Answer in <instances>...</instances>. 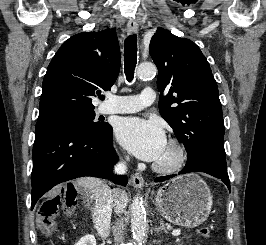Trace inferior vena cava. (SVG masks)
<instances>
[{"instance_id": "inferior-vena-cava-1", "label": "inferior vena cava", "mask_w": 266, "mask_h": 245, "mask_svg": "<svg viewBox=\"0 0 266 245\" xmlns=\"http://www.w3.org/2000/svg\"><path fill=\"white\" fill-rule=\"evenodd\" d=\"M126 161H129L126 157ZM126 161H120L114 167V173L116 175H125L127 173V163ZM113 193L110 187H103L101 191H97L93 199V223L94 227L100 235V237H109L110 235V225H111V215L113 209Z\"/></svg>"}]
</instances>
